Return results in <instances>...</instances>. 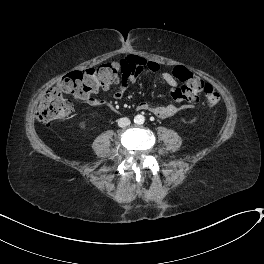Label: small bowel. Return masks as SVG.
<instances>
[{
	"label": "small bowel",
	"mask_w": 264,
	"mask_h": 264,
	"mask_svg": "<svg viewBox=\"0 0 264 264\" xmlns=\"http://www.w3.org/2000/svg\"><path fill=\"white\" fill-rule=\"evenodd\" d=\"M125 61V68L121 69L120 83L113 92L114 99H121L128 88L134 84L143 70H148L152 73L159 74L161 79L169 86L176 87L179 83L171 71H160V66L157 62L139 58L135 56H128L123 59ZM82 101L90 106H100L105 104L106 100L96 98L93 96H86ZM196 99L191 103L194 104ZM137 110L152 112L159 118H169L176 113L177 108L173 104L152 105L148 101H140L136 105Z\"/></svg>",
	"instance_id": "c3829d8e"
}]
</instances>
